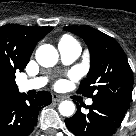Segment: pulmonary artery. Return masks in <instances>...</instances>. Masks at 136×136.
<instances>
[{"instance_id":"pulmonary-artery-1","label":"pulmonary artery","mask_w":136,"mask_h":136,"mask_svg":"<svg viewBox=\"0 0 136 136\" xmlns=\"http://www.w3.org/2000/svg\"><path fill=\"white\" fill-rule=\"evenodd\" d=\"M60 57L63 63L71 64L81 54V47L77 42H60L58 44ZM46 84L45 78H34L30 80L22 81L19 85L21 91L26 92L29 90H35L43 87ZM87 105L93 103L92 99L86 101Z\"/></svg>"}]
</instances>
